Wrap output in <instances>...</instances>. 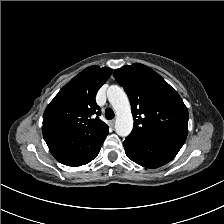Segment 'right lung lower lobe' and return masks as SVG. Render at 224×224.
<instances>
[{
  "label": "right lung lower lobe",
  "instance_id": "98d812e1",
  "mask_svg": "<svg viewBox=\"0 0 224 224\" xmlns=\"http://www.w3.org/2000/svg\"><path fill=\"white\" fill-rule=\"evenodd\" d=\"M43 137L52 155L67 166H81L92 161L109 131L101 134H79L55 126L42 127Z\"/></svg>",
  "mask_w": 224,
  "mask_h": 224
}]
</instances>
